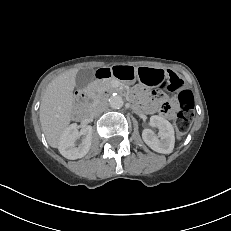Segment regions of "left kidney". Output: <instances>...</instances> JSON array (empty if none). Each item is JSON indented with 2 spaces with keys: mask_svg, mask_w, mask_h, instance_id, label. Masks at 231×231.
<instances>
[{
  "mask_svg": "<svg viewBox=\"0 0 231 231\" xmlns=\"http://www.w3.org/2000/svg\"><path fill=\"white\" fill-rule=\"evenodd\" d=\"M150 125L158 128V136L151 129H144L142 132L144 142L158 153H171L175 143L174 128L171 123L161 116L154 115L150 118Z\"/></svg>",
  "mask_w": 231,
  "mask_h": 231,
  "instance_id": "5707ae66",
  "label": "left kidney"
}]
</instances>
